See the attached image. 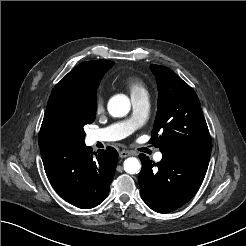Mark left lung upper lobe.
I'll use <instances>...</instances> for the list:
<instances>
[{
	"label": "left lung upper lobe",
	"mask_w": 246,
	"mask_h": 246,
	"mask_svg": "<svg viewBox=\"0 0 246 246\" xmlns=\"http://www.w3.org/2000/svg\"><path fill=\"white\" fill-rule=\"evenodd\" d=\"M150 68L158 86V109L150 143L161 151H211V137L195 91L172 70L155 64Z\"/></svg>",
	"instance_id": "obj_1"
}]
</instances>
